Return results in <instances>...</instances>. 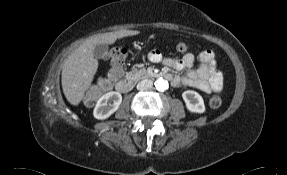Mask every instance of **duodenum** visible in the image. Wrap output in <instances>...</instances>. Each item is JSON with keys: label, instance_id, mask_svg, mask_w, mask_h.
Segmentation results:
<instances>
[{"label": "duodenum", "instance_id": "duodenum-1", "mask_svg": "<svg viewBox=\"0 0 287 175\" xmlns=\"http://www.w3.org/2000/svg\"><path fill=\"white\" fill-rule=\"evenodd\" d=\"M171 79L173 80V78H171ZM132 86H133V82L131 80H125L119 84V89L124 90V91H128L132 88Z\"/></svg>", "mask_w": 287, "mask_h": 175}]
</instances>
